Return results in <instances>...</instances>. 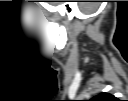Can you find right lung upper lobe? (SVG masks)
<instances>
[{"label": "right lung upper lobe", "instance_id": "cb5924a9", "mask_svg": "<svg viewBox=\"0 0 128 101\" xmlns=\"http://www.w3.org/2000/svg\"><path fill=\"white\" fill-rule=\"evenodd\" d=\"M97 101H115V97L108 93H101L95 97Z\"/></svg>", "mask_w": 128, "mask_h": 101}]
</instances>
